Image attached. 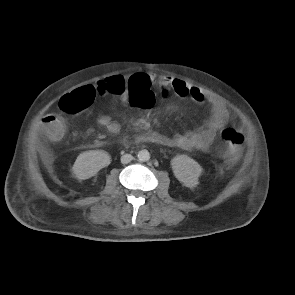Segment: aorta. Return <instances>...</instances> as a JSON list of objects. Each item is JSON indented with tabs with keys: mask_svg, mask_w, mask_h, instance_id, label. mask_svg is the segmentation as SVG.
<instances>
[{
	"mask_svg": "<svg viewBox=\"0 0 295 295\" xmlns=\"http://www.w3.org/2000/svg\"><path fill=\"white\" fill-rule=\"evenodd\" d=\"M139 161L146 162L150 159V153L147 150H141L137 155Z\"/></svg>",
	"mask_w": 295,
	"mask_h": 295,
	"instance_id": "obj_1",
	"label": "aorta"
}]
</instances>
